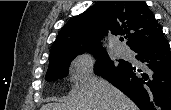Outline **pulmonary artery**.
I'll return each instance as SVG.
<instances>
[{
    "mask_svg": "<svg viewBox=\"0 0 171 110\" xmlns=\"http://www.w3.org/2000/svg\"><path fill=\"white\" fill-rule=\"evenodd\" d=\"M117 54L121 56L124 54V52L122 50H117Z\"/></svg>",
    "mask_w": 171,
    "mask_h": 110,
    "instance_id": "pulmonary-artery-1",
    "label": "pulmonary artery"
}]
</instances>
